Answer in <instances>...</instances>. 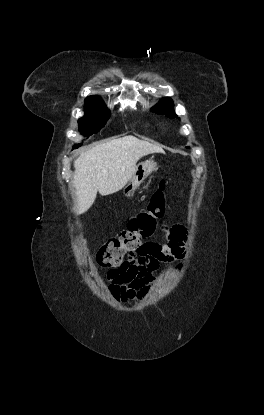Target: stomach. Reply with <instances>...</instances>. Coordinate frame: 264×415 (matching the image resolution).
Instances as JSON below:
<instances>
[{
  "label": "stomach",
  "instance_id": "1",
  "mask_svg": "<svg viewBox=\"0 0 264 415\" xmlns=\"http://www.w3.org/2000/svg\"><path fill=\"white\" fill-rule=\"evenodd\" d=\"M158 169L157 163L153 160H146L136 166V170L123 188V194L127 198L133 197L135 190L153 172Z\"/></svg>",
  "mask_w": 264,
  "mask_h": 415
}]
</instances>
